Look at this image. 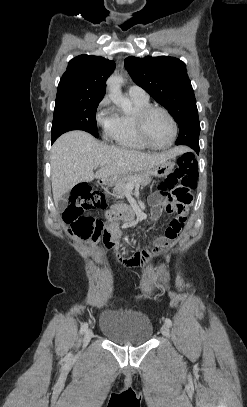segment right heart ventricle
Instances as JSON below:
<instances>
[{
  "label": "right heart ventricle",
  "instance_id": "obj_1",
  "mask_svg": "<svg viewBox=\"0 0 247 407\" xmlns=\"http://www.w3.org/2000/svg\"><path fill=\"white\" fill-rule=\"evenodd\" d=\"M132 107L130 111H116L113 113V122L107 130V136L116 145L130 149L143 151L148 147L139 139L135 128L136 114L143 108L149 106V100L131 98Z\"/></svg>",
  "mask_w": 247,
  "mask_h": 407
}]
</instances>
